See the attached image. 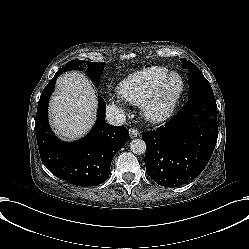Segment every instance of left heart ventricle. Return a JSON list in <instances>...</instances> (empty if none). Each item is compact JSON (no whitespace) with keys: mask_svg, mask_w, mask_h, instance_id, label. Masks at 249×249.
Listing matches in <instances>:
<instances>
[{"mask_svg":"<svg viewBox=\"0 0 249 249\" xmlns=\"http://www.w3.org/2000/svg\"><path fill=\"white\" fill-rule=\"evenodd\" d=\"M177 85V80L175 77L171 78L167 84L166 92L173 90Z\"/></svg>","mask_w":249,"mask_h":249,"instance_id":"1","label":"left heart ventricle"}]
</instances>
